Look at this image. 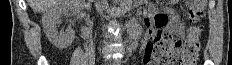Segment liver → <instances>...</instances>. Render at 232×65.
I'll list each match as a JSON object with an SVG mask.
<instances>
[{
	"label": "liver",
	"instance_id": "liver-1",
	"mask_svg": "<svg viewBox=\"0 0 232 65\" xmlns=\"http://www.w3.org/2000/svg\"><path fill=\"white\" fill-rule=\"evenodd\" d=\"M60 0H28L29 6L34 12L41 13L54 6Z\"/></svg>",
	"mask_w": 232,
	"mask_h": 65
}]
</instances>
